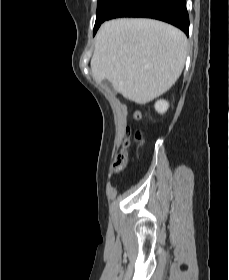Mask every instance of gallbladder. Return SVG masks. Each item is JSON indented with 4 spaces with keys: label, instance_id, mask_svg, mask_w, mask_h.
Returning <instances> with one entry per match:
<instances>
[{
    "label": "gallbladder",
    "instance_id": "obj_1",
    "mask_svg": "<svg viewBox=\"0 0 229 280\" xmlns=\"http://www.w3.org/2000/svg\"><path fill=\"white\" fill-rule=\"evenodd\" d=\"M103 83L114 91V89H113V87H112V85H111V83L109 81L104 80Z\"/></svg>",
    "mask_w": 229,
    "mask_h": 280
}]
</instances>
